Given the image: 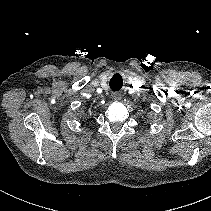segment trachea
<instances>
[{"mask_svg": "<svg viewBox=\"0 0 211 211\" xmlns=\"http://www.w3.org/2000/svg\"><path fill=\"white\" fill-rule=\"evenodd\" d=\"M110 87L114 91L119 90L121 88V83L120 84L119 83H116V82H114L113 79H111V81H110Z\"/></svg>", "mask_w": 211, "mask_h": 211, "instance_id": "trachea-1", "label": "trachea"}]
</instances>
